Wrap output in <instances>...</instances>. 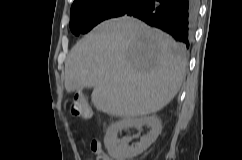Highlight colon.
Masks as SVG:
<instances>
[{"mask_svg": "<svg viewBox=\"0 0 242 160\" xmlns=\"http://www.w3.org/2000/svg\"><path fill=\"white\" fill-rule=\"evenodd\" d=\"M69 111L75 116L85 120H90L92 118V110L87 102L86 97L82 93H75L71 98L69 103ZM98 160H102L99 155Z\"/></svg>", "mask_w": 242, "mask_h": 160, "instance_id": "1", "label": "colon"}]
</instances>
